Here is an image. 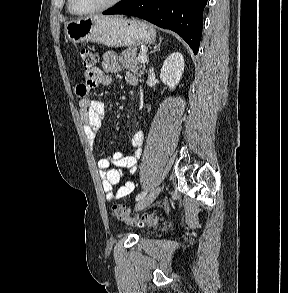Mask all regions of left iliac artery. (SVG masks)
Masks as SVG:
<instances>
[{"mask_svg":"<svg viewBox=\"0 0 288 293\" xmlns=\"http://www.w3.org/2000/svg\"><path fill=\"white\" fill-rule=\"evenodd\" d=\"M147 194V191H143L141 193H139L137 196H136V201H139L141 200L142 198H144Z\"/></svg>","mask_w":288,"mask_h":293,"instance_id":"44dca946","label":"left iliac artery"}]
</instances>
